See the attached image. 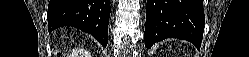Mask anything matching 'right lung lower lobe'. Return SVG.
I'll return each mask as SVG.
<instances>
[{
	"label": "right lung lower lobe",
	"mask_w": 249,
	"mask_h": 57,
	"mask_svg": "<svg viewBox=\"0 0 249 57\" xmlns=\"http://www.w3.org/2000/svg\"><path fill=\"white\" fill-rule=\"evenodd\" d=\"M110 11V0H50L49 32L62 26H73L91 34L106 47Z\"/></svg>",
	"instance_id": "obj_1"
}]
</instances>
